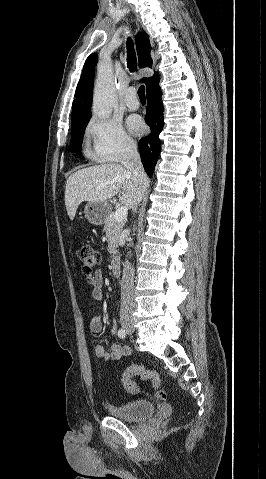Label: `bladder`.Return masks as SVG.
<instances>
[{
	"label": "bladder",
	"instance_id": "obj_1",
	"mask_svg": "<svg viewBox=\"0 0 266 479\" xmlns=\"http://www.w3.org/2000/svg\"><path fill=\"white\" fill-rule=\"evenodd\" d=\"M112 417L126 422H135L143 418L153 416L155 406L148 400H137L125 402L122 404H110L107 407Z\"/></svg>",
	"mask_w": 266,
	"mask_h": 479
}]
</instances>
